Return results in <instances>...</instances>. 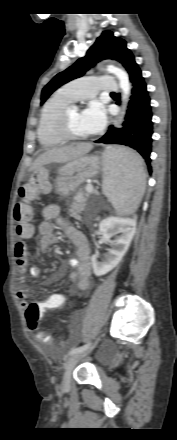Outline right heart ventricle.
Here are the masks:
<instances>
[{
    "mask_svg": "<svg viewBox=\"0 0 177 440\" xmlns=\"http://www.w3.org/2000/svg\"><path fill=\"white\" fill-rule=\"evenodd\" d=\"M74 98L64 87L55 92L44 104L37 127V137L43 148H53L63 143L56 130L60 112L74 102Z\"/></svg>",
    "mask_w": 177,
    "mask_h": 440,
    "instance_id": "right-heart-ventricle-1",
    "label": "right heart ventricle"
}]
</instances>
